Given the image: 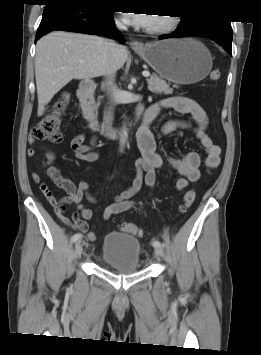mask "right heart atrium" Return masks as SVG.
<instances>
[{"instance_id":"obj_1","label":"right heart atrium","mask_w":261,"mask_h":355,"mask_svg":"<svg viewBox=\"0 0 261 355\" xmlns=\"http://www.w3.org/2000/svg\"><path fill=\"white\" fill-rule=\"evenodd\" d=\"M117 23H118L119 25H123V24H124V21H123L122 19H117Z\"/></svg>"}]
</instances>
